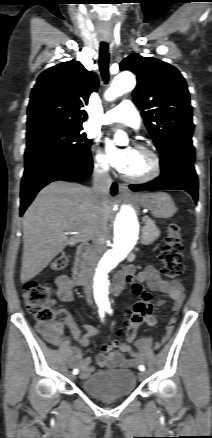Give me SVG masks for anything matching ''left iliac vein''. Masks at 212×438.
<instances>
[{
  "label": "left iliac vein",
  "mask_w": 212,
  "mask_h": 438,
  "mask_svg": "<svg viewBox=\"0 0 212 438\" xmlns=\"http://www.w3.org/2000/svg\"><path fill=\"white\" fill-rule=\"evenodd\" d=\"M146 375H147V374H146L145 371H141V372H139V375H138V376H139V379H140V380H144V379L146 378Z\"/></svg>",
  "instance_id": "left-iliac-vein-1"
}]
</instances>
